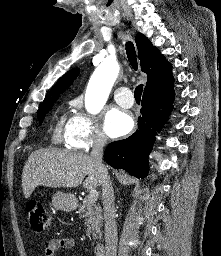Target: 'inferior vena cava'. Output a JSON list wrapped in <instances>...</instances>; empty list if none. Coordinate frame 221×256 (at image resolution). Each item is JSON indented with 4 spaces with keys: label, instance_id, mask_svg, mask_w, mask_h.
Here are the masks:
<instances>
[{
    "label": "inferior vena cava",
    "instance_id": "inferior-vena-cava-1",
    "mask_svg": "<svg viewBox=\"0 0 221 256\" xmlns=\"http://www.w3.org/2000/svg\"><path fill=\"white\" fill-rule=\"evenodd\" d=\"M106 139L103 135L94 137L91 157L101 173L102 197L105 220V247L106 256H116L117 253V226L115 221V198L111 180L107 169L102 163L103 147Z\"/></svg>",
    "mask_w": 221,
    "mask_h": 256
}]
</instances>
